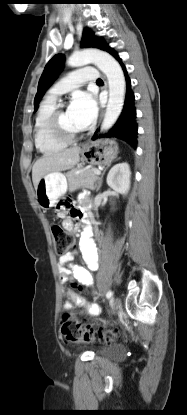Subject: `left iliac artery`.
Returning a JSON list of instances; mask_svg holds the SVG:
<instances>
[{
    "instance_id": "left-iliac-artery-1",
    "label": "left iliac artery",
    "mask_w": 187,
    "mask_h": 415,
    "mask_svg": "<svg viewBox=\"0 0 187 415\" xmlns=\"http://www.w3.org/2000/svg\"><path fill=\"white\" fill-rule=\"evenodd\" d=\"M112 296H113V292L112 291H108L107 294H106V297L108 299H110Z\"/></svg>"
}]
</instances>
